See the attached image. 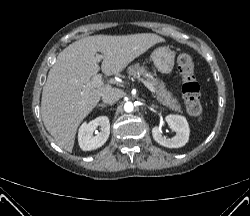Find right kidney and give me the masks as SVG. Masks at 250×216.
Returning <instances> with one entry per match:
<instances>
[{
    "instance_id": "obj_1",
    "label": "right kidney",
    "mask_w": 250,
    "mask_h": 216,
    "mask_svg": "<svg viewBox=\"0 0 250 216\" xmlns=\"http://www.w3.org/2000/svg\"><path fill=\"white\" fill-rule=\"evenodd\" d=\"M100 127L101 131H96L97 127ZM95 132V136H93ZM110 134V122L107 116H100L96 119L83 123L79 128L78 142L83 151H90L97 149L104 145Z\"/></svg>"
}]
</instances>
